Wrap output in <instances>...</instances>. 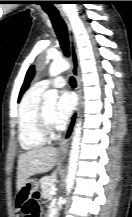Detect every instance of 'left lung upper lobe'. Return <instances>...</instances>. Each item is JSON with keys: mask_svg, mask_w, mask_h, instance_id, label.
<instances>
[{"mask_svg": "<svg viewBox=\"0 0 132 217\" xmlns=\"http://www.w3.org/2000/svg\"><path fill=\"white\" fill-rule=\"evenodd\" d=\"M33 75H34V67L31 66L26 74V77H25V80H24V83L22 85V88H21V91H20V94H19V98L18 100H20L22 94L24 93V91L27 89L31 79L33 78Z\"/></svg>", "mask_w": 132, "mask_h": 217, "instance_id": "obj_1", "label": "left lung upper lobe"}]
</instances>
